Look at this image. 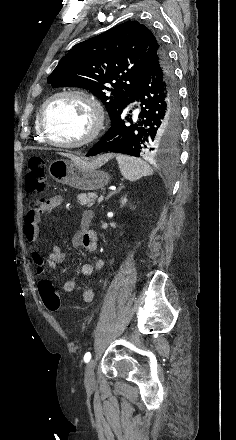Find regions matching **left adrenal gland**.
<instances>
[{"label": "left adrenal gland", "mask_w": 236, "mask_h": 440, "mask_svg": "<svg viewBox=\"0 0 236 440\" xmlns=\"http://www.w3.org/2000/svg\"><path fill=\"white\" fill-rule=\"evenodd\" d=\"M123 188V186H121L119 189H118V192L121 190ZM113 194V193H112ZM112 194H110L108 197H110Z\"/></svg>", "instance_id": "a2214340"}]
</instances>
